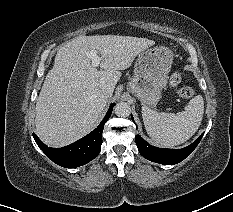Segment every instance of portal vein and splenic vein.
Instances as JSON below:
<instances>
[{
	"mask_svg": "<svg viewBox=\"0 0 233 212\" xmlns=\"http://www.w3.org/2000/svg\"><path fill=\"white\" fill-rule=\"evenodd\" d=\"M87 56L91 59L92 65L94 67H97L101 63V61L103 60V58H101V57H99L97 55V51L96 50L88 51L87 52Z\"/></svg>",
	"mask_w": 233,
	"mask_h": 212,
	"instance_id": "obj_1",
	"label": "portal vein and splenic vein"
}]
</instances>
